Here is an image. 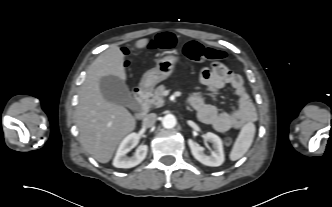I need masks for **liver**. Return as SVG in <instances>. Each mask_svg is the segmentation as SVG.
I'll use <instances>...</instances> for the list:
<instances>
[{
	"mask_svg": "<svg viewBox=\"0 0 332 207\" xmlns=\"http://www.w3.org/2000/svg\"><path fill=\"white\" fill-rule=\"evenodd\" d=\"M148 43L149 39H141L135 47L142 49ZM123 62L124 54L120 48L110 47L88 67L80 90L76 108L80 142L100 163L109 162L121 140L136 127L132 114L124 106L106 101L99 88V81L104 76L113 75L126 80Z\"/></svg>",
	"mask_w": 332,
	"mask_h": 207,
	"instance_id": "6515ba94",
	"label": "liver"
}]
</instances>
